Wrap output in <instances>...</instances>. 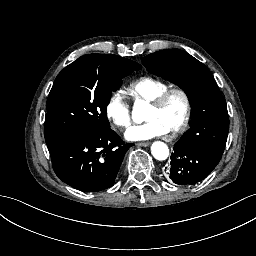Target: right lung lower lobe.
<instances>
[{
    "label": "right lung lower lobe",
    "instance_id": "obj_1",
    "mask_svg": "<svg viewBox=\"0 0 256 256\" xmlns=\"http://www.w3.org/2000/svg\"><path fill=\"white\" fill-rule=\"evenodd\" d=\"M132 145H123L111 129L47 143L58 178L84 192H97L113 186L124 154Z\"/></svg>",
    "mask_w": 256,
    "mask_h": 256
}]
</instances>
